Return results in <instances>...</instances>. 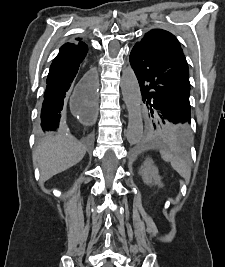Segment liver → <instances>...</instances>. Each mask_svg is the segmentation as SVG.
<instances>
[{
    "mask_svg": "<svg viewBox=\"0 0 225 267\" xmlns=\"http://www.w3.org/2000/svg\"><path fill=\"white\" fill-rule=\"evenodd\" d=\"M86 147L70 134L57 135L39 143L33 151L34 165L38 166L41 181L45 182L79 163Z\"/></svg>",
    "mask_w": 225,
    "mask_h": 267,
    "instance_id": "6515ba94",
    "label": "liver"
}]
</instances>
